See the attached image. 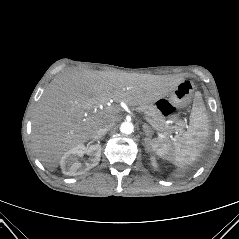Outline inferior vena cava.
<instances>
[{"mask_svg":"<svg viewBox=\"0 0 239 239\" xmlns=\"http://www.w3.org/2000/svg\"><path fill=\"white\" fill-rule=\"evenodd\" d=\"M113 125H114V123L111 121L104 122L103 124H101V126L97 130L96 134L98 136H102V135L106 134L113 127Z\"/></svg>","mask_w":239,"mask_h":239,"instance_id":"1","label":"inferior vena cava"}]
</instances>
